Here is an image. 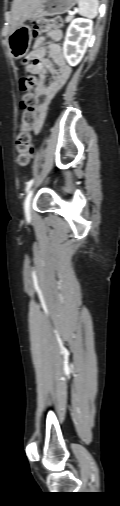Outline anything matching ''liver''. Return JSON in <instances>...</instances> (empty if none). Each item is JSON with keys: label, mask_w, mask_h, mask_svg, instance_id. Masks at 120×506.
<instances>
[{"label": "liver", "mask_w": 120, "mask_h": 506, "mask_svg": "<svg viewBox=\"0 0 120 506\" xmlns=\"http://www.w3.org/2000/svg\"><path fill=\"white\" fill-rule=\"evenodd\" d=\"M44 0H13L11 8V17L9 19L10 30L12 33L30 17V15L41 6Z\"/></svg>", "instance_id": "liver-1"}]
</instances>
